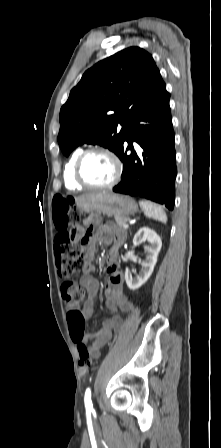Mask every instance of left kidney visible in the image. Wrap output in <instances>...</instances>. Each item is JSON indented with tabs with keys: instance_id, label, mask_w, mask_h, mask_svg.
Returning a JSON list of instances; mask_svg holds the SVG:
<instances>
[{
	"instance_id": "1",
	"label": "left kidney",
	"mask_w": 221,
	"mask_h": 448,
	"mask_svg": "<svg viewBox=\"0 0 221 448\" xmlns=\"http://www.w3.org/2000/svg\"><path fill=\"white\" fill-rule=\"evenodd\" d=\"M145 240L149 241L150 246L146 248L147 256L145 261L141 264V272L136 277H133L128 269L125 270L126 284L131 290L138 289L149 279L154 270L158 254L162 247L161 238L154 230L148 227H142L137 231L133 238V244L137 245Z\"/></svg>"
}]
</instances>
